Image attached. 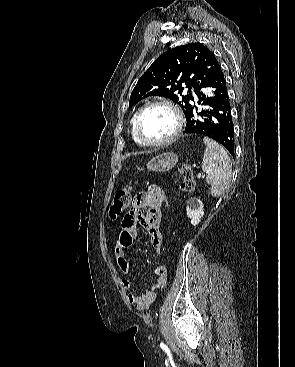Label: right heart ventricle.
<instances>
[{"label":"right heart ventricle","instance_id":"e07e8e85","mask_svg":"<svg viewBox=\"0 0 295 367\" xmlns=\"http://www.w3.org/2000/svg\"><path fill=\"white\" fill-rule=\"evenodd\" d=\"M134 119H135V115H133V116H132L131 121H130V124H131V135H132L133 140H134L136 143L141 144V143L138 141V139H137V137H136V135H135V132H134Z\"/></svg>","mask_w":295,"mask_h":367}]
</instances>
